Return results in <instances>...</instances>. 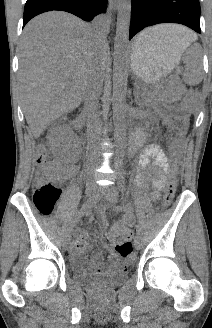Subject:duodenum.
Returning a JSON list of instances; mask_svg holds the SVG:
<instances>
[{
    "mask_svg": "<svg viewBox=\"0 0 212 328\" xmlns=\"http://www.w3.org/2000/svg\"><path fill=\"white\" fill-rule=\"evenodd\" d=\"M140 141H141V136H140V135H137V136L134 138L133 143H134V144H138Z\"/></svg>",
    "mask_w": 212,
    "mask_h": 328,
    "instance_id": "410a0bca",
    "label": "duodenum"
}]
</instances>
